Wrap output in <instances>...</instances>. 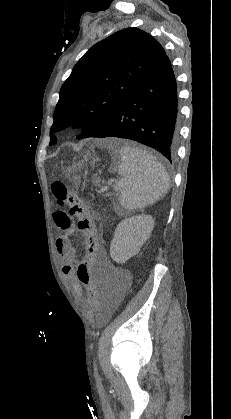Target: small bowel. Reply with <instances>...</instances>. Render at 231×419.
Returning a JSON list of instances; mask_svg holds the SVG:
<instances>
[{"label":"small bowel","mask_w":231,"mask_h":419,"mask_svg":"<svg viewBox=\"0 0 231 419\" xmlns=\"http://www.w3.org/2000/svg\"><path fill=\"white\" fill-rule=\"evenodd\" d=\"M54 222L56 224L57 232H65L56 240V250L62 260V272L65 279L72 282L73 289L80 299H84L83 288L80 280H76L74 263L76 262L75 251L70 239V234L75 231L73 226V219L71 213L57 211L54 213ZM107 263L106 254L100 250V256L93 262L92 267H100ZM126 291V284L119 277H114L103 283L102 295L104 303V316H110L121 304L124 299ZM97 301V299H96Z\"/></svg>","instance_id":"obj_1"}]
</instances>
